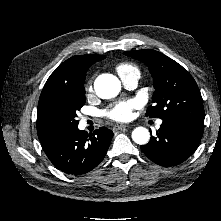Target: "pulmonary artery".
<instances>
[{
  "instance_id": "e3ab8cb5",
  "label": "pulmonary artery",
  "mask_w": 221,
  "mask_h": 221,
  "mask_svg": "<svg viewBox=\"0 0 221 221\" xmlns=\"http://www.w3.org/2000/svg\"><path fill=\"white\" fill-rule=\"evenodd\" d=\"M122 83L129 89L135 88L138 84V80L140 78L139 73L131 72L128 74L120 75ZM162 123L161 120L157 121V126H160Z\"/></svg>"
}]
</instances>
